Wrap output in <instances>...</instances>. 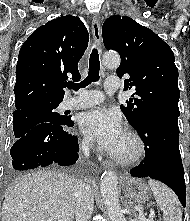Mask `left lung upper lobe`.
I'll return each instance as SVG.
<instances>
[{"instance_id":"left-lung-upper-lobe-1","label":"left lung upper lobe","mask_w":190,"mask_h":221,"mask_svg":"<svg viewBox=\"0 0 190 221\" xmlns=\"http://www.w3.org/2000/svg\"><path fill=\"white\" fill-rule=\"evenodd\" d=\"M102 35L106 49L120 54L117 75H130L124 82V90L131 89L134 93L126 101L127 106L121 105V110L133 127L154 113L179 116L178 70L169 45L126 16L108 18Z\"/></svg>"}]
</instances>
